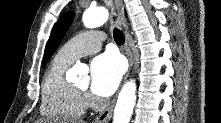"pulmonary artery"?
<instances>
[{"instance_id":"obj_1","label":"pulmonary artery","mask_w":221,"mask_h":123,"mask_svg":"<svg viewBox=\"0 0 221 123\" xmlns=\"http://www.w3.org/2000/svg\"><path fill=\"white\" fill-rule=\"evenodd\" d=\"M102 43L103 34L101 32L94 30L86 31L63 45L58 51L57 56L72 63L82 56L99 51Z\"/></svg>"}]
</instances>
